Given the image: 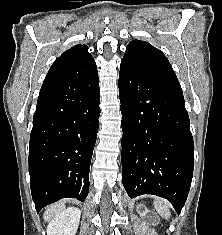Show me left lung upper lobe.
<instances>
[{
    "mask_svg": "<svg viewBox=\"0 0 222 235\" xmlns=\"http://www.w3.org/2000/svg\"><path fill=\"white\" fill-rule=\"evenodd\" d=\"M121 62L139 71L180 86L166 56L148 42L141 40L131 41L126 47V52Z\"/></svg>",
    "mask_w": 222,
    "mask_h": 235,
    "instance_id": "1",
    "label": "left lung upper lobe"
}]
</instances>
